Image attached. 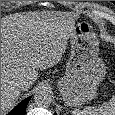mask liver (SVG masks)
I'll return each instance as SVG.
<instances>
[{
    "instance_id": "liver-1",
    "label": "liver",
    "mask_w": 115,
    "mask_h": 115,
    "mask_svg": "<svg viewBox=\"0 0 115 115\" xmlns=\"http://www.w3.org/2000/svg\"><path fill=\"white\" fill-rule=\"evenodd\" d=\"M74 24L61 15L16 13L1 18V115L20 96L14 85L23 80L28 90L38 71L58 63Z\"/></svg>"
}]
</instances>
